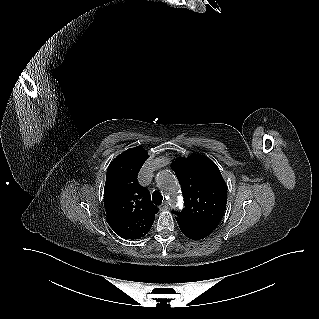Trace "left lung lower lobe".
<instances>
[{"label": "left lung lower lobe", "mask_w": 319, "mask_h": 319, "mask_svg": "<svg viewBox=\"0 0 319 319\" xmlns=\"http://www.w3.org/2000/svg\"><path fill=\"white\" fill-rule=\"evenodd\" d=\"M177 223L182 231V233L193 240H200L212 233L213 230L205 229V228H199L190 224H187L179 219H176Z\"/></svg>", "instance_id": "1"}]
</instances>
